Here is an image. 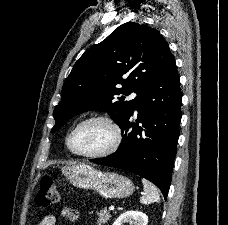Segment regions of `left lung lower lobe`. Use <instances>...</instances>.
<instances>
[{"label": "left lung lower lobe", "mask_w": 228, "mask_h": 225, "mask_svg": "<svg viewBox=\"0 0 228 225\" xmlns=\"http://www.w3.org/2000/svg\"><path fill=\"white\" fill-rule=\"evenodd\" d=\"M181 100L179 75L172 56L156 79L137 97L120 125L123 138L118 150L91 161L140 175L155 184L166 199L179 138ZM136 109L138 119L132 125L129 119Z\"/></svg>", "instance_id": "obj_1"}]
</instances>
